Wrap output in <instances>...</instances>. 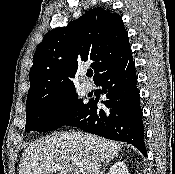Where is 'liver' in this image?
<instances>
[{"label":"liver","mask_w":175,"mask_h":174,"mask_svg":"<svg viewBox=\"0 0 175 174\" xmlns=\"http://www.w3.org/2000/svg\"><path fill=\"white\" fill-rule=\"evenodd\" d=\"M122 144L103 137L70 131L56 133L31 143L23 152L19 174H75V157L86 174H92L95 163L112 159L122 149Z\"/></svg>","instance_id":"1"}]
</instances>
